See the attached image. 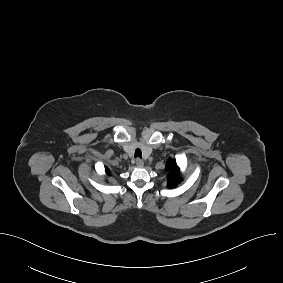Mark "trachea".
<instances>
[{"mask_svg":"<svg viewBox=\"0 0 283 283\" xmlns=\"http://www.w3.org/2000/svg\"><path fill=\"white\" fill-rule=\"evenodd\" d=\"M135 157H139V158L142 157V152H141L140 149H136V150H135Z\"/></svg>","mask_w":283,"mask_h":283,"instance_id":"1","label":"trachea"}]
</instances>
